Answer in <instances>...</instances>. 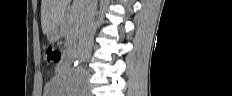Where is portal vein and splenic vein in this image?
<instances>
[{
    "instance_id": "portal-vein-and-splenic-vein-1",
    "label": "portal vein and splenic vein",
    "mask_w": 232,
    "mask_h": 96,
    "mask_svg": "<svg viewBox=\"0 0 232 96\" xmlns=\"http://www.w3.org/2000/svg\"><path fill=\"white\" fill-rule=\"evenodd\" d=\"M74 9H77V0H74V1H73V10H74ZM72 16H73V17H76L74 11L72 12Z\"/></svg>"
}]
</instances>
